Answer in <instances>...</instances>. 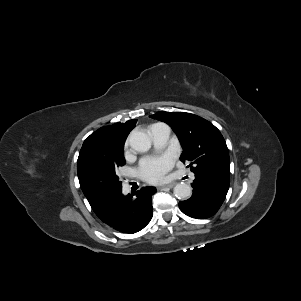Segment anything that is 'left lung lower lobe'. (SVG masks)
<instances>
[{
  "instance_id": "1",
  "label": "left lung lower lobe",
  "mask_w": 301,
  "mask_h": 301,
  "mask_svg": "<svg viewBox=\"0 0 301 301\" xmlns=\"http://www.w3.org/2000/svg\"><path fill=\"white\" fill-rule=\"evenodd\" d=\"M192 187L191 198L179 202V207L192 218L206 219L219 210L228 192L229 182L204 174H195Z\"/></svg>"
}]
</instances>
